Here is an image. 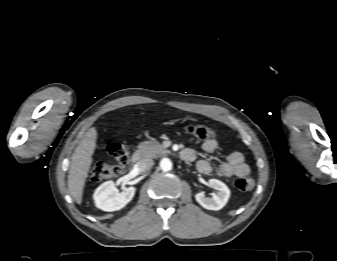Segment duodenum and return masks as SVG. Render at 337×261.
Segmentation results:
<instances>
[{
    "label": "duodenum",
    "instance_id": "duodenum-1",
    "mask_svg": "<svg viewBox=\"0 0 337 261\" xmlns=\"http://www.w3.org/2000/svg\"><path fill=\"white\" fill-rule=\"evenodd\" d=\"M142 160V154L139 151H136L132 155V162L139 163Z\"/></svg>",
    "mask_w": 337,
    "mask_h": 261
}]
</instances>
